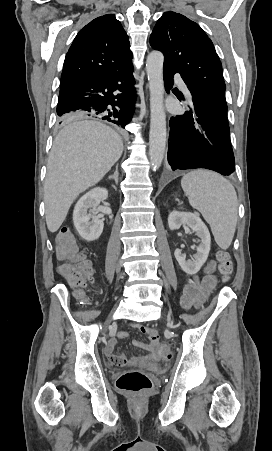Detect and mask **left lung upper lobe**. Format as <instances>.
Listing matches in <instances>:
<instances>
[{
	"instance_id": "1",
	"label": "left lung upper lobe",
	"mask_w": 272,
	"mask_h": 451,
	"mask_svg": "<svg viewBox=\"0 0 272 451\" xmlns=\"http://www.w3.org/2000/svg\"><path fill=\"white\" fill-rule=\"evenodd\" d=\"M164 54V65L181 74L191 93L227 113L222 65L213 43L201 27L176 12H165L150 36Z\"/></svg>"
}]
</instances>
